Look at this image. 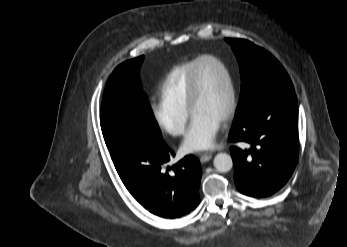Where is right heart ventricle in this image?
<instances>
[{
    "instance_id": "obj_1",
    "label": "right heart ventricle",
    "mask_w": 347,
    "mask_h": 247,
    "mask_svg": "<svg viewBox=\"0 0 347 247\" xmlns=\"http://www.w3.org/2000/svg\"><path fill=\"white\" fill-rule=\"evenodd\" d=\"M197 60L198 58L179 64L167 73L159 91L163 101L188 110L187 93L190 73Z\"/></svg>"
}]
</instances>
